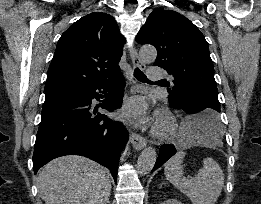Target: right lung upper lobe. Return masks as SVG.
Masks as SVG:
<instances>
[{
  "label": "right lung upper lobe",
  "instance_id": "1",
  "mask_svg": "<svg viewBox=\"0 0 261 204\" xmlns=\"http://www.w3.org/2000/svg\"><path fill=\"white\" fill-rule=\"evenodd\" d=\"M125 38L115 19L90 13L60 37L45 84L46 96L105 80L120 71Z\"/></svg>",
  "mask_w": 261,
  "mask_h": 204
}]
</instances>
